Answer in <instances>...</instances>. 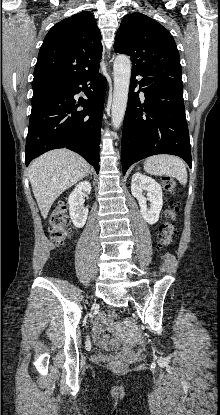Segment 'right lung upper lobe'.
<instances>
[{"instance_id": "right-lung-upper-lobe-1", "label": "right lung upper lobe", "mask_w": 220, "mask_h": 415, "mask_svg": "<svg viewBox=\"0 0 220 415\" xmlns=\"http://www.w3.org/2000/svg\"><path fill=\"white\" fill-rule=\"evenodd\" d=\"M103 46L94 16L81 12L55 24L44 38L32 84L69 83L99 69Z\"/></svg>"}]
</instances>
